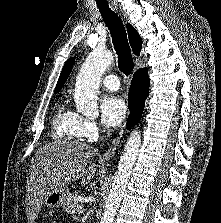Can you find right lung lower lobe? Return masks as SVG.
I'll return each mask as SVG.
<instances>
[{"instance_id": "98d812e1", "label": "right lung lower lobe", "mask_w": 221, "mask_h": 223, "mask_svg": "<svg viewBox=\"0 0 221 223\" xmlns=\"http://www.w3.org/2000/svg\"><path fill=\"white\" fill-rule=\"evenodd\" d=\"M147 71V69H140L133 76L128 96L130 116L127 120V128L137 124L141 118L150 85Z\"/></svg>"}]
</instances>
